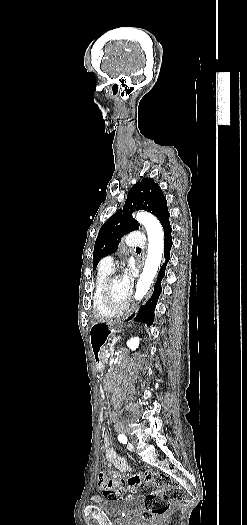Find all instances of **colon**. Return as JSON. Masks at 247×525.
<instances>
[{
	"instance_id": "5ec220e1",
	"label": "colon",
	"mask_w": 247,
	"mask_h": 525,
	"mask_svg": "<svg viewBox=\"0 0 247 525\" xmlns=\"http://www.w3.org/2000/svg\"><path fill=\"white\" fill-rule=\"evenodd\" d=\"M99 428L107 426L106 418L98 419ZM112 481L119 480L118 475L111 474ZM128 486L136 488L140 485L154 486L153 490L145 496L144 519L163 520L167 517L172 502L184 500L186 491L174 483L165 473L143 471L131 473L125 479ZM124 493V489H123Z\"/></svg>"
}]
</instances>
